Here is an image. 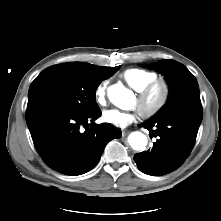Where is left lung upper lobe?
Listing matches in <instances>:
<instances>
[{"mask_svg": "<svg viewBox=\"0 0 221 221\" xmlns=\"http://www.w3.org/2000/svg\"><path fill=\"white\" fill-rule=\"evenodd\" d=\"M148 68L165 75L170 88L167 102L151 119L201 104L197 80L183 64L164 59Z\"/></svg>", "mask_w": 221, "mask_h": 221, "instance_id": "1", "label": "left lung upper lobe"}]
</instances>
